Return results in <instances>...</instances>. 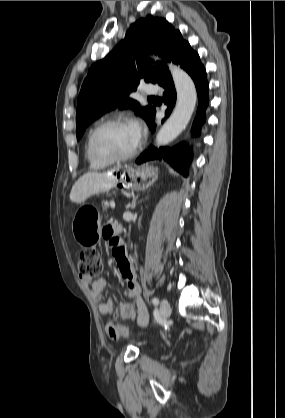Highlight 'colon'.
I'll return each instance as SVG.
<instances>
[{"instance_id":"obj_1","label":"colon","mask_w":285,"mask_h":418,"mask_svg":"<svg viewBox=\"0 0 285 418\" xmlns=\"http://www.w3.org/2000/svg\"><path fill=\"white\" fill-rule=\"evenodd\" d=\"M112 253L117 261H122L126 258L125 247L122 243ZM77 271L82 277L98 276L102 271V263L98 253L94 250L81 252L77 263ZM107 330L109 334L114 332L122 336H128L130 334L126 327L119 324L110 325Z\"/></svg>"}]
</instances>
